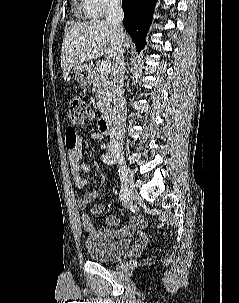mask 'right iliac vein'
<instances>
[{
  "instance_id": "right-iliac-vein-1",
  "label": "right iliac vein",
  "mask_w": 239,
  "mask_h": 303,
  "mask_svg": "<svg viewBox=\"0 0 239 303\" xmlns=\"http://www.w3.org/2000/svg\"><path fill=\"white\" fill-rule=\"evenodd\" d=\"M114 161L119 165L120 170L125 171V182H123L127 187V193H128V200L132 201L137 197V193L135 190L133 178L131 175V172L127 165L125 164L124 158L121 155H114L112 157Z\"/></svg>"
}]
</instances>
